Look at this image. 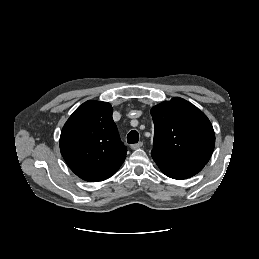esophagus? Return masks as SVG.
I'll list each match as a JSON object with an SVG mask.
<instances>
[{
	"instance_id": "34e87169",
	"label": "esophagus",
	"mask_w": 259,
	"mask_h": 259,
	"mask_svg": "<svg viewBox=\"0 0 259 259\" xmlns=\"http://www.w3.org/2000/svg\"><path fill=\"white\" fill-rule=\"evenodd\" d=\"M143 146V142H138V143H136V144H132L131 145V149L132 150H136V149H138V148H141Z\"/></svg>"
}]
</instances>
